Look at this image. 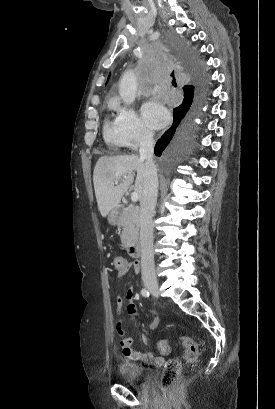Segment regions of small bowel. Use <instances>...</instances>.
<instances>
[{
    "label": "small bowel",
    "mask_w": 275,
    "mask_h": 409,
    "mask_svg": "<svg viewBox=\"0 0 275 409\" xmlns=\"http://www.w3.org/2000/svg\"><path fill=\"white\" fill-rule=\"evenodd\" d=\"M123 260H124L123 265L125 267V270H124L123 273H119V274L116 275L117 279L121 278L120 274H124V273L128 272L131 269L134 270L135 272H137L139 270V264L138 263H136L134 261L130 262V261L125 260V259H123ZM125 296L128 299H133L135 297V289H134L133 286H130L127 289ZM115 305H116L117 312L120 314L123 311V308H124V299H123L122 296H118L116 298ZM127 311L132 316H135L137 314V308L133 303H130L127 306ZM158 324H159V318L157 316H154L147 322V327L149 329H155V328H157ZM116 326L117 327H122L123 326V321L122 320H117L116 321ZM119 335L123 336L124 332L120 331ZM142 340L143 341L146 340L144 335L142 336ZM119 343H120L121 349L126 354L128 360H137L138 359L143 364H150V365H154V366H161L163 364V358L162 357H155L149 352L138 353L137 351H133L132 345L133 344L135 345L137 342L135 340H133L132 337H125V338L121 337Z\"/></svg>",
    "instance_id": "obj_1"
}]
</instances>
